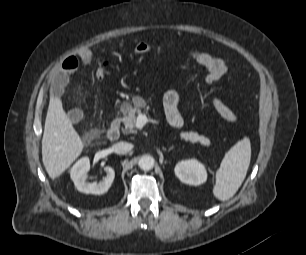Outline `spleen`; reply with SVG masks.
<instances>
[{
	"label": "spleen",
	"instance_id": "spleen-1",
	"mask_svg": "<svg viewBox=\"0 0 306 255\" xmlns=\"http://www.w3.org/2000/svg\"><path fill=\"white\" fill-rule=\"evenodd\" d=\"M251 159L248 137L238 141L224 156L216 172L214 196L221 201L232 198L244 181Z\"/></svg>",
	"mask_w": 306,
	"mask_h": 255
}]
</instances>
